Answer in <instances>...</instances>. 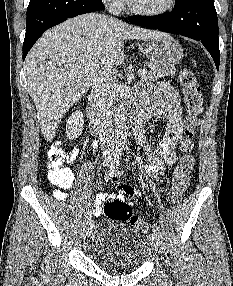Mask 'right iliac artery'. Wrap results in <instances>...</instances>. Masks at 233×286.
<instances>
[{"mask_svg": "<svg viewBox=\"0 0 233 286\" xmlns=\"http://www.w3.org/2000/svg\"><path fill=\"white\" fill-rule=\"evenodd\" d=\"M121 155H122V147L121 146H116L115 148V152L113 155V159L110 165V169L107 172L106 176H105V181L107 182L109 179H111V177H113L114 173L116 172L119 164H120V160H121ZM91 216H92V212H89L86 217L85 220L83 222L84 225H87L90 221H91Z\"/></svg>", "mask_w": 233, "mask_h": 286, "instance_id": "right-iliac-artery-1", "label": "right iliac artery"}]
</instances>
